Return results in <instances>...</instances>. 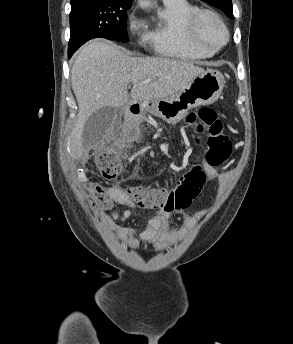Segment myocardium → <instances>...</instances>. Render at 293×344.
Listing matches in <instances>:
<instances>
[{
  "label": "myocardium",
  "mask_w": 293,
  "mask_h": 344,
  "mask_svg": "<svg viewBox=\"0 0 293 344\" xmlns=\"http://www.w3.org/2000/svg\"><path fill=\"white\" fill-rule=\"evenodd\" d=\"M204 18H210L215 21L224 32V41L216 47H210L203 42L200 36L199 27L200 23ZM186 34L190 42L201 50L216 53L220 51L229 41L230 33L229 30L220 17L215 11L210 9H198L188 19L186 23Z\"/></svg>",
  "instance_id": "obj_1"
}]
</instances>
